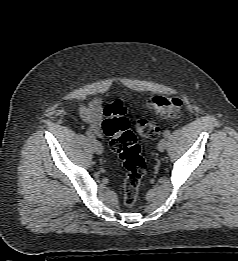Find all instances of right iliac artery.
<instances>
[{
  "instance_id": "1",
  "label": "right iliac artery",
  "mask_w": 238,
  "mask_h": 261,
  "mask_svg": "<svg viewBox=\"0 0 238 261\" xmlns=\"http://www.w3.org/2000/svg\"><path fill=\"white\" fill-rule=\"evenodd\" d=\"M86 135H87V137L90 139V140H95V136H94V134L91 132V131H86Z\"/></svg>"
}]
</instances>
